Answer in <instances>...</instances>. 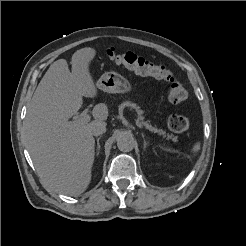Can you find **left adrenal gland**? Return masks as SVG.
<instances>
[{
    "label": "left adrenal gland",
    "mask_w": 246,
    "mask_h": 246,
    "mask_svg": "<svg viewBox=\"0 0 246 246\" xmlns=\"http://www.w3.org/2000/svg\"><path fill=\"white\" fill-rule=\"evenodd\" d=\"M142 137H143V142H144V148L146 149V147H147V142H146V140H145V137H144V134L142 133Z\"/></svg>",
    "instance_id": "1"
}]
</instances>
